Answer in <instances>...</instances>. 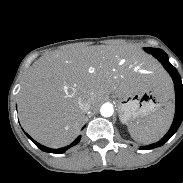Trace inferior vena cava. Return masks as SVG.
<instances>
[{"instance_id":"inferior-vena-cava-1","label":"inferior vena cava","mask_w":183,"mask_h":183,"mask_svg":"<svg viewBox=\"0 0 183 183\" xmlns=\"http://www.w3.org/2000/svg\"><path fill=\"white\" fill-rule=\"evenodd\" d=\"M78 105L84 112H87L91 107V101L89 99L80 98Z\"/></svg>"}]
</instances>
